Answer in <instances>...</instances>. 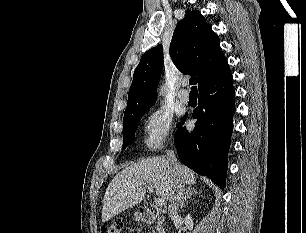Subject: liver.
I'll return each instance as SVG.
<instances>
[{
  "instance_id": "obj_1",
  "label": "liver",
  "mask_w": 306,
  "mask_h": 233,
  "mask_svg": "<svg viewBox=\"0 0 306 233\" xmlns=\"http://www.w3.org/2000/svg\"><path fill=\"white\" fill-rule=\"evenodd\" d=\"M184 182L196 183V177L186 166L180 165ZM171 163L165 158H147L122 170L108 185L102 209V222L139 204L145 197L146 186L154 185L156 195L169 200L174 184Z\"/></svg>"
}]
</instances>
